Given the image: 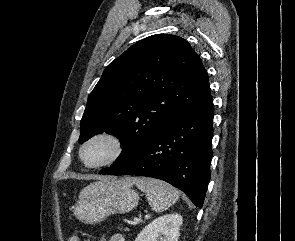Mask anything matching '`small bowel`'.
Wrapping results in <instances>:
<instances>
[{
	"label": "small bowel",
	"mask_w": 295,
	"mask_h": 241,
	"mask_svg": "<svg viewBox=\"0 0 295 241\" xmlns=\"http://www.w3.org/2000/svg\"><path fill=\"white\" fill-rule=\"evenodd\" d=\"M72 238V237H71ZM70 240V239H69ZM68 240V241H69ZM110 241H122V240H120V239H118V238H113V239H111Z\"/></svg>",
	"instance_id": "obj_1"
}]
</instances>
